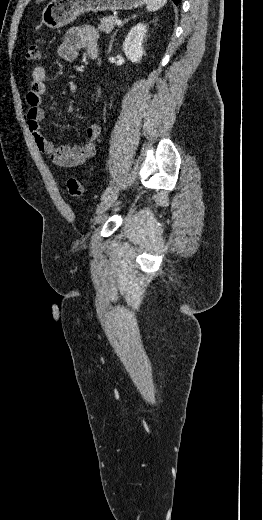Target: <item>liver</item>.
Segmentation results:
<instances>
[{
  "instance_id": "liver-1",
  "label": "liver",
  "mask_w": 263,
  "mask_h": 520,
  "mask_svg": "<svg viewBox=\"0 0 263 520\" xmlns=\"http://www.w3.org/2000/svg\"><path fill=\"white\" fill-rule=\"evenodd\" d=\"M44 0H36V3H41L43 2Z\"/></svg>"
}]
</instances>
